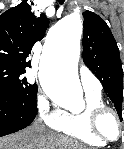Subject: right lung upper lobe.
<instances>
[{
  "instance_id": "cb5924a9",
  "label": "right lung upper lobe",
  "mask_w": 124,
  "mask_h": 149,
  "mask_svg": "<svg viewBox=\"0 0 124 149\" xmlns=\"http://www.w3.org/2000/svg\"><path fill=\"white\" fill-rule=\"evenodd\" d=\"M48 27L44 14L36 18L27 0L0 15V66L25 71L31 67L28 57L35 42ZM26 72V71H25Z\"/></svg>"
}]
</instances>
